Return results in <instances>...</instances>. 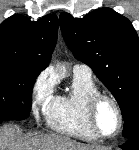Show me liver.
Here are the masks:
<instances>
[{"label": "liver", "mask_w": 139, "mask_h": 150, "mask_svg": "<svg viewBox=\"0 0 139 150\" xmlns=\"http://www.w3.org/2000/svg\"><path fill=\"white\" fill-rule=\"evenodd\" d=\"M92 145L76 142L68 137L50 134L28 140L20 139L17 126L5 125L0 129V150H98Z\"/></svg>", "instance_id": "6515ba94"}]
</instances>
